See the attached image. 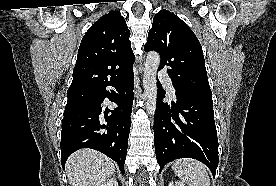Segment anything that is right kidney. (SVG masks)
<instances>
[{
	"mask_svg": "<svg viewBox=\"0 0 276 186\" xmlns=\"http://www.w3.org/2000/svg\"><path fill=\"white\" fill-rule=\"evenodd\" d=\"M102 186H118V182L115 178H112L105 182Z\"/></svg>",
	"mask_w": 276,
	"mask_h": 186,
	"instance_id": "ca27d5eb",
	"label": "right kidney"
}]
</instances>
